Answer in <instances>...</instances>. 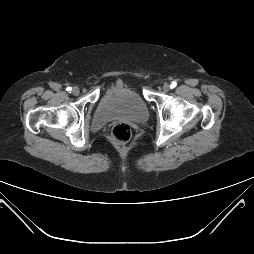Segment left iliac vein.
Segmentation results:
<instances>
[{"label":"left iliac vein","mask_w":254,"mask_h":254,"mask_svg":"<svg viewBox=\"0 0 254 254\" xmlns=\"http://www.w3.org/2000/svg\"><path fill=\"white\" fill-rule=\"evenodd\" d=\"M169 90H170V85L164 84V85H163V91H164V92H168Z\"/></svg>","instance_id":"obj_1"}]
</instances>
